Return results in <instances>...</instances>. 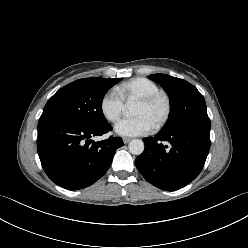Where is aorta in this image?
Returning <instances> with one entry per match:
<instances>
[{
	"instance_id": "1",
	"label": "aorta",
	"mask_w": 248,
	"mask_h": 248,
	"mask_svg": "<svg viewBox=\"0 0 248 248\" xmlns=\"http://www.w3.org/2000/svg\"><path fill=\"white\" fill-rule=\"evenodd\" d=\"M125 113L126 115H130L131 111L127 110ZM128 148L130 153L134 155H140L143 153L145 146L142 140L133 139L129 142Z\"/></svg>"
}]
</instances>
